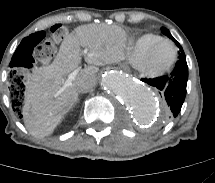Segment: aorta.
Listing matches in <instances>:
<instances>
[{"mask_svg": "<svg viewBox=\"0 0 215 183\" xmlns=\"http://www.w3.org/2000/svg\"><path fill=\"white\" fill-rule=\"evenodd\" d=\"M100 81L105 92L130 109L140 124L154 125L162 119L164 109L161 104L151 91L130 75L106 70Z\"/></svg>", "mask_w": 215, "mask_h": 183, "instance_id": "762f6f07", "label": "aorta"}]
</instances>
